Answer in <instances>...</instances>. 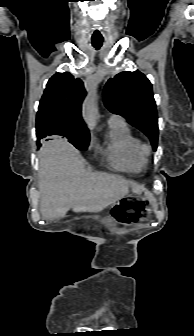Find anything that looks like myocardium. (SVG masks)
I'll return each instance as SVG.
<instances>
[{
	"instance_id": "obj_1",
	"label": "myocardium",
	"mask_w": 194,
	"mask_h": 336,
	"mask_svg": "<svg viewBox=\"0 0 194 336\" xmlns=\"http://www.w3.org/2000/svg\"><path fill=\"white\" fill-rule=\"evenodd\" d=\"M143 151H144L145 155L149 154L152 151L151 146L150 145H143Z\"/></svg>"
}]
</instances>
